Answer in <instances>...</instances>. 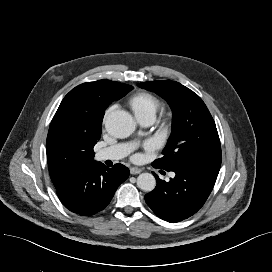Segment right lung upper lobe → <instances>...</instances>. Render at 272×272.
Listing matches in <instances>:
<instances>
[{
	"mask_svg": "<svg viewBox=\"0 0 272 272\" xmlns=\"http://www.w3.org/2000/svg\"><path fill=\"white\" fill-rule=\"evenodd\" d=\"M132 89L123 83L99 80L83 83L64 97L46 141L49 173L56 189L96 164L93 147L101 136L104 112Z\"/></svg>",
	"mask_w": 272,
	"mask_h": 272,
	"instance_id": "obj_1",
	"label": "right lung upper lobe"
}]
</instances>
